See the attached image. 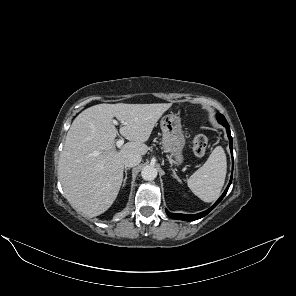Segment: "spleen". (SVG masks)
Masks as SVG:
<instances>
[{
	"mask_svg": "<svg viewBox=\"0 0 296 296\" xmlns=\"http://www.w3.org/2000/svg\"><path fill=\"white\" fill-rule=\"evenodd\" d=\"M227 172L224 149L217 146L207 161L188 179L190 190L204 202L216 200L222 190Z\"/></svg>",
	"mask_w": 296,
	"mask_h": 296,
	"instance_id": "obj_1",
	"label": "spleen"
}]
</instances>
